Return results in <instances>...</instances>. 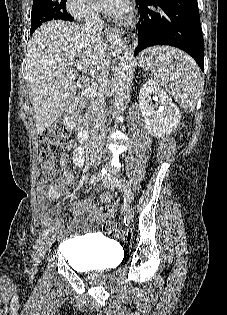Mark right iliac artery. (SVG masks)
<instances>
[{
	"mask_svg": "<svg viewBox=\"0 0 227 315\" xmlns=\"http://www.w3.org/2000/svg\"><path fill=\"white\" fill-rule=\"evenodd\" d=\"M105 173L106 171L103 169L95 173L94 175H92V177L90 178V184H93V185L97 184L99 181L103 179ZM53 230H54V227H50L47 231H45V233H43L42 236L37 240L36 246L37 244H40L42 240L46 238L51 232H53Z\"/></svg>",
	"mask_w": 227,
	"mask_h": 315,
	"instance_id": "obj_1",
	"label": "right iliac artery"
}]
</instances>
